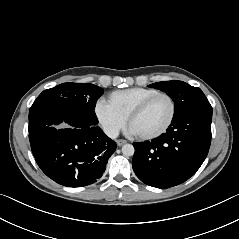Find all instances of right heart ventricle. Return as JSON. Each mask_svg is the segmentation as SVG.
<instances>
[{
    "mask_svg": "<svg viewBox=\"0 0 239 239\" xmlns=\"http://www.w3.org/2000/svg\"><path fill=\"white\" fill-rule=\"evenodd\" d=\"M158 90L144 87H133L111 92L105 102L114 110L127 118L130 111L142 100Z\"/></svg>",
    "mask_w": 239,
    "mask_h": 239,
    "instance_id": "e07e8e85",
    "label": "right heart ventricle"
}]
</instances>
